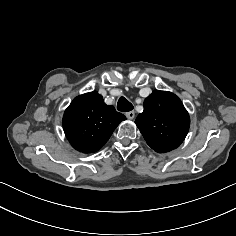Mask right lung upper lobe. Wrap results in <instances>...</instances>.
<instances>
[{
  "instance_id": "obj_1",
  "label": "right lung upper lobe",
  "mask_w": 236,
  "mask_h": 236,
  "mask_svg": "<svg viewBox=\"0 0 236 236\" xmlns=\"http://www.w3.org/2000/svg\"><path fill=\"white\" fill-rule=\"evenodd\" d=\"M126 117L106 105L97 91L76 97L66 109L63 129L70 144L79 152L98 151Z\"/></svg>"
}]
</instances>
